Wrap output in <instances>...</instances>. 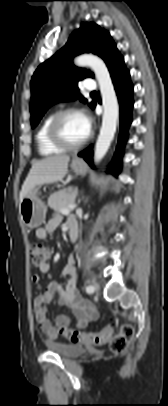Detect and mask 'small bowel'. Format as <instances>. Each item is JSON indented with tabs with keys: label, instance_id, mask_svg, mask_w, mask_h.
I'll use <instances>...</instances> for the list:
<instances>
[{
	"label": "small bowel",
	"instance_id": "1",
	"mask_svg": "<svg viewBox=\"0 0 168 406\" xmlns=\"http://www.w3.org/2000/svg\"><path fill=\"white\" fill-rule=\"evenodd\" d=\"M70 221H75V219L70 218L67 223ZM60 223L61 216L58 214L53 215L45 226L37 229V238L42 240L47 239L49 233L54 231ZM49 270L50 265L48 263L40 267L42 273H47ZM61 276L68 278L65 288L57 281H53L48 284L44 293L37 295L33 300L35 319L42 331L51 339L59 336V326H66L70 323L69 317L63 313L56 315L53 324L47 318V304L56 298L61 306L71 309L78 327H84L98 318V311L94 304L82 298L79 293L77 269L73 256L69 258L67 265L61 272ZM31 279L33 283L38 284L41 277L39 274H34Z\"/></svg>",
	"mask_w": 168,
	"mask_h": 406
}]
</instances>
